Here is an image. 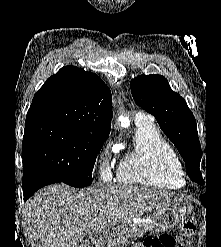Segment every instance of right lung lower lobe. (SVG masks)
Wrapping results in <instances>:
<instances>
[{
    "label": "right lung lower lobe",
    "mask_w": 221,
    "mask_h": 247,
    "mask_svg": "<svg viewBox=\"0 0 221 247\" xmlns=\"http://www.w3.org/2000/svg\"><path fill=\"white\" fill-rule=\"evenodd\" d=\"M60 182H62L60 178L40 166L31 162H23V195L25 200L40 188Z\"/></svg>",
    "instance_id": "1"
}]
</instances>
